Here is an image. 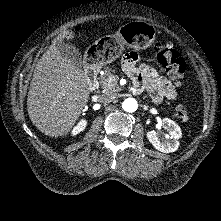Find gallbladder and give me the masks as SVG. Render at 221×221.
<instances>
[{"label": "gallbladder", "mask_w": 221, "mask_h": 221, "mask_svg": "<svg viewBox=\"0 0 221 221\" xmlns=\"http://www.w3.org/2000/svg\"><path fill=\"white\" fill-rule=\"evenodd\" d=\"M56 46L62 57L69 59L77 66L82 65L81 52L75 46L65 42H58Z\"/></svg>", "instance_id": "gallbladder-1"}]
</instances>
